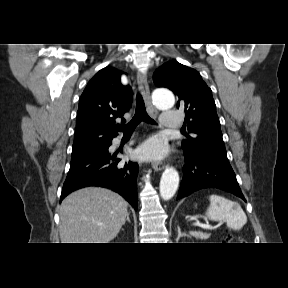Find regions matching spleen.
<instances>
[{
  "label": "spleen",
  "mask_w": 288,
  "mask_h": 288,
  "mask_svg": "<svg viewBox=\"0 0 288 288\" xmlns=\"http://www.w3.org/2000/svg\"><path fill=\"white\" fill-rule=\"evenodd\" d=\"M210 205L206 217L212 221H224L227 227L240 230L247 222V216L240 204L220 195L209 196Z\"/></svg>",
  "instance_id": "1"
}]
</instances>
